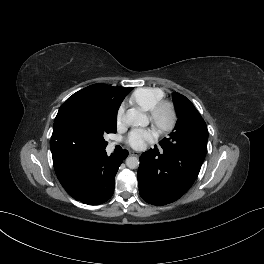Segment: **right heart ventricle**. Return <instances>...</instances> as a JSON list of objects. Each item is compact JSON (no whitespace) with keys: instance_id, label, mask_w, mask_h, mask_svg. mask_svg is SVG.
<instances>
[{"instance_id":"obj_1","label":"right heart ventricle","mask_w":264,"mask_h":264,"mask_svg":"<svg viewBox=\"0 0 264 264\" xmlns=\"http://www.w3.org/2000/svg\"><path fill=\"white\" fill-rule=\"evenodd\" d=\"M164 91L156 87H143L136 89L130 96L129 101L144 111H150L164 98Z\"/></svg>"}]
</instances>
